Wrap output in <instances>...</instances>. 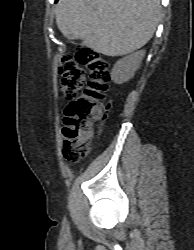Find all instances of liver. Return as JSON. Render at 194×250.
Masks as SVG:
<instances>
[{"label":"liver","mask_w":194,"mask_h":250,"mask_svg":"<svg viewBox=\"0 0 194 250\" xmlns=\"http://www.w3.org/2000/svg\"><path fill=\"white\" fill-rule=\"evenodd\" d=\"M61 33L106 56L143 47L161 15L160 0H59L55 8Z\"/></svg>","instance_id":"obj_1"}]
</instances>
